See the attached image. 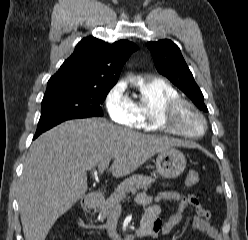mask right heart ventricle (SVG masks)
<instances>
[{
  "instance_id": "obj_1",
  "label": "right heart ventricle",
  "mask_w": 248,
  "mask_h": 240,
  "mask_svg": "<svg viewBox=\"0 0 248 240\" xmlns=\"http://www.w3.org/2000/svg\"><path fill=\"white\" fill-rule=\"evenodd\" d=\"M139 98L133 102L136 128L149 132L164 131L157 123L160 108L169 100L179 97L178 90L161 78H148L140 81Z\"/></svg>"
}]
</instances>
